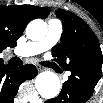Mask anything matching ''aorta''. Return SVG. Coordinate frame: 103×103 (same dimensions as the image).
<instances>
[{"label":"aorta","instance_id":"aorta-1","mask_svg":"<svg viewBox=\"0 0 103 103\" xmlns=\"http://www.w3.org/2000/svg\"><path fill=\"white\" fill-rule=\"evenodd\" d=\"M47 34V24L42 19H34L26 27V35L29 39L37 41ZM59 77L50 71L40 73L35 79V87L41 97L52 99L60 91Z\"/></svg>","mask_w":103,"mask_h":103}]
</instances>
